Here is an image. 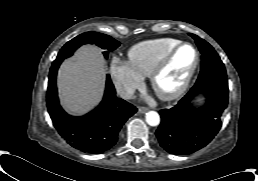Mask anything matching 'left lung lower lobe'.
<instances>
[{"mask_svg": "<svg viewBox=\"0 0 258 181\" xmlns=\"http://www.w3.org/2000/svg\"><path fill=\"white\" fill-rule=\"evenodd\" d=\"M228 92L226 76L209 75L197 80L178 104L159 111L161 124L156 136L160 146L175 155H189L205 147L221 128ZM199 93L207 101L201 109H194L191 101Z\"/></svg>", "mask_w": 258, "mask_h": 181, "instance_id": "obj_1", "label": "left lung lower lobe"}]
</instances>
